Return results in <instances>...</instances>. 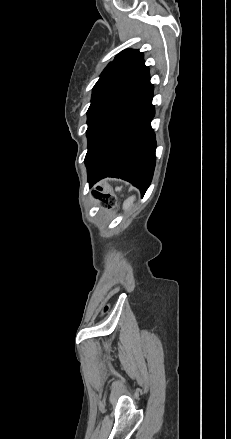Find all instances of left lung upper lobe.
I'll return each mask as SVG.
<instances>
[{"label": "left lung upper lobe", "mask_w": 231, "mask_h": 439, "mask_svg": "<svg viewBox=\"0 0 231 439\" xmlns=\"http://www.w3.org/2000/svg\"><path fill=\"white\" fill-rule=\"evenodd\" d=\"M148 77L149 68L144 64L143 53L132 49L119 53L93 88L87 111V132Z\"/></svg>", "instance_id": "5c2ea615"}]
</instances>
